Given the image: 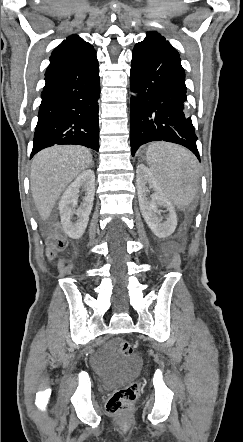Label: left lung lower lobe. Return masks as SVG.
Here are the masks:
<instances>
[{"mask_svg": "<svg viewBox=\"0 0 243 442\" xmlns=\"http://www.w3.org/2000/svg\"><path fill=\"white\" fill-rule=\"evenodd\" d=\"M178 52L159 34L150 33L133 49L130 85L138 98L131 99V153L151 141L185 146L200 160L197 137L185 112V73Z\"/></svg>", "mask_w": 243, "mask_h": 442, "instance_id": "left-lung-lower-lobe-1", "label": "left lung lower lobe"}]
</instances>
